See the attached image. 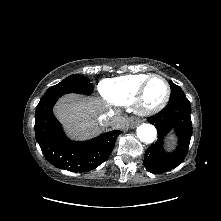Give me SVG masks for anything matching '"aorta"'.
<instances>
[{
  "label": "aorta",
  "mask_w": 221,
  "mask_h": 221,
  "mask_svg": "<svg viewBox=\"0 0 221 221\" xmlns=\"http://www.w3.org/2000/svg\"><path fill=\"white\" fill-rule=\"evenodd\" d=\"M136 133L140 141L149 144L155 140L157 131L151 124H142L137 127Z\"/></svg>",
  "instance_id": "obj_1"
}]
</instances>
